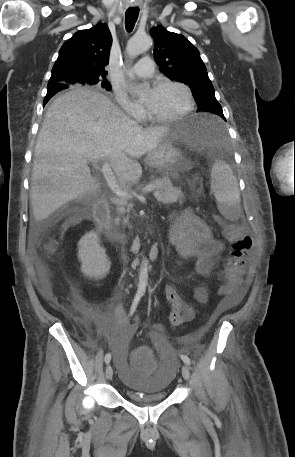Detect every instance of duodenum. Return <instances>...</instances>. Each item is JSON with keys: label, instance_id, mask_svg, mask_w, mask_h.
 Masks as SVG:
<instances>
[{"label": "duodenum", "instance_id": "obj_1", "mask_svg": "<svg viewBox=\"0 0 295 457\" xmlns=\"http://www.w3.org/2000/svg\"><path fill=\"white\" fill-rule=\"evenodd\" d=\"M84 213L94 221L98 230L108 241L113 242L117 240L109 221L108 202L105 197H99L90 209H85Z\"/></svg>", "mask_w": 295, "mask_h": 457}]
</instances>
